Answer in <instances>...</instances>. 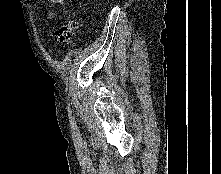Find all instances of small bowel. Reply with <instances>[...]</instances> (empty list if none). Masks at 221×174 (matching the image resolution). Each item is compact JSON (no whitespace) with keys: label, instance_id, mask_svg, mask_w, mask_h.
<instances>
[{"label":"small bowel","instance_id":"obj_1","mask_svg":"<svg viewBox=\"0 0 221 174\" xmlns=\"http://www.w3.org/2000/svg\"><path fill=\"white\" fill-rule=\"evenodd\" d=\"M49 1L53 4H58V5L63 4L64 2V0H49Z\"/></svg>","mask_w":221,"mask_h":174}]
</instances>
